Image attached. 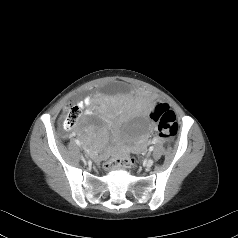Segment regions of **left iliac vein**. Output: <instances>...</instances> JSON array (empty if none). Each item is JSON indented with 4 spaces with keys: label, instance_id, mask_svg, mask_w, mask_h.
Listing matches in <instances>:
<instances>
[{
    "label": "left iliac vein",
    "instance_id": "left-iliac-vein-1",
    "mask_svg": "<svg viewBox=\"0 0 238 238\" xmlns=\"http://www.w3.org/2000/svg\"><path fill=\"white\" fill-rule=\"evenodd\" d=\"M154 161L152 159H149L146 161V167L150 168L153 165Z\"/></svg>",
    "mask_w": 238,
    "mask_h": 238
}]
</instances>
